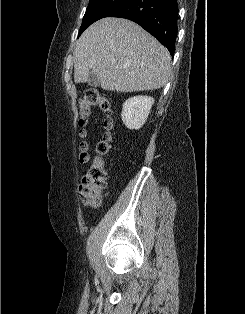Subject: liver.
Returning <instances> with one entry per match:
<instances>
[{
  "label": "liver",
  "mask_w": 245,
  "mask_h": 314,
  "mask_svg": "<svg viewBox=\"0 0 245 314\" xmlns=\"http://www.w3.org/2000/svg\"><path fill=\"white\" fill-rule=\"evenodd\" d=\"M74 81L87 82L90 72L107 91L135 92L165 86L171 56L138 24L122 18H103L89 26L74 50Z\"/></svg>",
  "instance_id": "1"
}]
</instances>
